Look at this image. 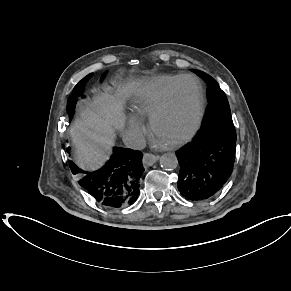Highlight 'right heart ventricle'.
Here are the masks:
<instances>
[{
  "label": "right heart ventricle",
  "mask_w": 291,
  "mask_h": 291,
  "mask_svg": "<svg viewBox=\"0 0 291 291\" xmlns=\"http://www.w3.org/2000/svg\"><path fill=\"white\" fill-rule=\"evenodd\" d=\"M180 76H156L149 79L142 87L134 105L133 112L137 118H150L151 114L160 105L167 90Z\"/></svg>",
  "instance_id": "obj_1"
}]
</instances>
